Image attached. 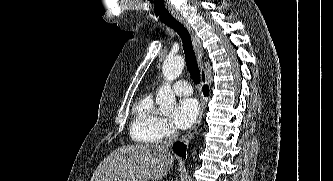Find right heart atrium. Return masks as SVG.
Segmentation results:
<instances>
[{
    "label": "right heart atrium",
    "mask_w": 333,
    "mask_h": 181,
    "mask_svg": "<svg viewBox=\"0 0 333 181\" xmlns=\"http://www.w3.org/2000/svg\"><path fill=\"white\" fill-rule=\"evenodd\" d=\"M157 134L160 140L171 138L176 134V129L169 119L160 118L157 125Z\"/></svg>",
    "instance_id": "1"
}]
</instances>
